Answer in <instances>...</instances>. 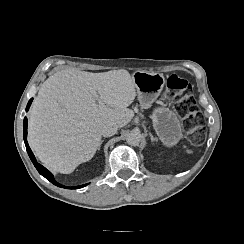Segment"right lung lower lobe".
<instances>
[{"label":"right lung lower lobe","mask_w":244,"mask_h":244,"mask_svg":"<svg viewBox=\"0 0 244 244\" xmlns=\"http://www.w3.org/2000/svg\"><path fill=\"white\" fill-rule=\"evenodd\" d=\"M32 100H33V98H31L29 100L27 107H26V111H28V109L32 103ZM23 130H24V142L26 145L28 155H29L31 161L33 162L34 166L36 167V169L38 170V172L42 176H44L46 179H48L50 182H52L54 185H56L58 187H63V188H67V189H77V188H82V187L86 186V184H85V185L77 186V187H66V186H63V185L59 184L58 182H56L55 179L53 178V175L45 167H43L42 165H40L36 161V158H35L34 154L32 153V151L28 145V142H27V118L26 117L24 118V121H23Z\"/></svg>","instance_id":"obj_1"}]
</instances>
